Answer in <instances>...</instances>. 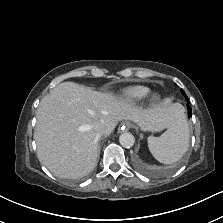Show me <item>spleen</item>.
<instances>
[{
	"instance_id": "3e777b00",
	"label": "spleen",
	"mask_w": 223,
	"mask_h": 223,
	"mask_svg": "<svg viewBox=\"0 0 223 223\" xmlns=\"http://www.w3.org/2000/svg\"><path fill=\"white\" fill-rule=\"evenodd\" d=\"M189 136V124L183 110H179L170 127L161 136L148 137V147L157 161L173 164L188 150Z\"/></svg>"
}]
</instances>
